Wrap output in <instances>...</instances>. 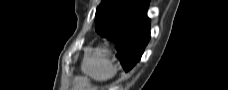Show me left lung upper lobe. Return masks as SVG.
<instances>
[{
	"label": "left lung upper lobe",
	"mask_w": 228,
	"mask_h": 90,
	"mask_svg": "<svg viewBox=\"0 0 228 90\" xmlns=\"http://www.w3.org/2000/svg\"><path fill=\"white\" fill-rule=\"evenodd\" d=\"M133 0H102L96 10L95 28L98 34L107 31L119 20V14L136 9Z\"/></svg>",
	"instance_id": "5c2ea615"
}]
</instances>
